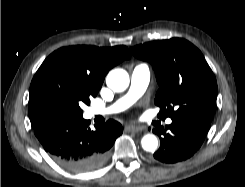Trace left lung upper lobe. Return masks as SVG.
<instances>
[{"instance_id":"1","label":"left lung upper lobe","mask_w":245,"mask_h":187,"mask_svg":"<svg viewBox=\"0 0 245 187\" xmlns=\"http://www.w3.org/2000/svg\"><path fill=\"white\" fill-rule=\"evenodd\" d=\"M132 54L152 64L159 84L154 100L161 119H204L215 112L217 82L202 53L181 38L132 47Z\"/></svg>"}]
</instances>
